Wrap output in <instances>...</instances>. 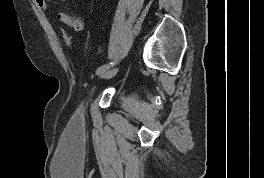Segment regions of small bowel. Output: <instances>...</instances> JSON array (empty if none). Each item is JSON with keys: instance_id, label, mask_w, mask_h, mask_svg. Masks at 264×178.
<instances>
[{"instance_id": "obj_1", "label": "small bowel", "mask_w": 264, "mask_h": 178, "mask_svg": "<svg viewBox=\"0 0 264 178\" xmlns=\"http://www.w3.org/2000/svg\"><path fill=\"white\" fill-rule=\"evenodd\" d=\"M35 2L43 10L50 8L49 0H35ZM56 18L60 23L70 27L75 32H81L84 29V22L77 15L61 11L57 13Z\"/></svg>"}]
</instances>
